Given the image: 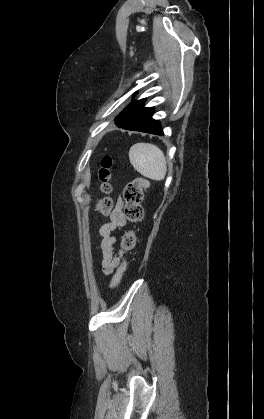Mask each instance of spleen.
Instances as JSON below:
<instances>
[{"mask_svg": "<svg viewBox=\"0 0 264 419\" xmlns=\"http://www.w3.org/2000/svg\"><path fill=\"white\" fill-rule=\"evenodd\" d=\"M130 163L136 171L152 180H163L166 160L160 148L150 143H136L129 150Z\"/></svg>", "mask_w": 264, "mask_h": 419, "instance_id": "1", "label": "spleen"}]
</instances>
